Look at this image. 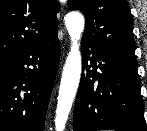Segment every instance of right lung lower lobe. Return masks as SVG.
Wrapping results in <instances>:
<instances>
[{"label": "right lung lower lobe", "mask_w": 147, "mask_h": 131, "mask_svg": "<svg viewBox=\"0 0 147 131\" xmlns=\"http://www.w3.org/2000/svg\"><path fill=\"white\" fill-rule=\"evenodd\" d=\"M59 57L56 34L0 58V131H44Z\"/></svg>", "instance_id": "1"}]
</instances>
